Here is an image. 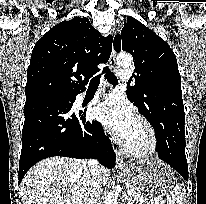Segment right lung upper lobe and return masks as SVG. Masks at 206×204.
I'll return each mask as SVG.
<instances>
[{"label":"right lung upper lobe","mask_w":206,"mask_h":204,"mask_svg":"<svg viewBox=\"0 0 206 204\" xmlns=\"http://www.w3.org/2000/svg\"><path fill=\"white\" fill-rule=\"evenodd\" d=\"M112 37H103L88 18L76 17L51 28L34 46L27 69L26 99L75 95L108 61ZM83 77H85L83 79Z\"/></svg>","instance_id":"cb5924a9"}]
</instances>
